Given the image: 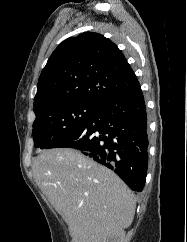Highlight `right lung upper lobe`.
Returning <instances> with one entry per match:
<instances>
[{
  "label": "right lung upper lobe",
  "mask_w": 187,
  "mask_h": 242,
  "mask_svg": "<svg viewBox=\"0 0 187 242\" xmlns=\"http://www.w3.org/2000/svg\"><path fill=\"white\" fill-rule=\"evenodd\" d=\"M139 87L118 47L86 32L63 41L48 59L38 80L34 112L39 115L72 102L101 105Z\"/></svg>",
  "instance_id": "obj_1"
}]
</instances>
